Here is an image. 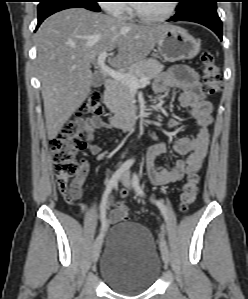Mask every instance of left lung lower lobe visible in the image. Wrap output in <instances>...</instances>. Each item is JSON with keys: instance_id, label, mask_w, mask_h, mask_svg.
Wrapping results in <instances>:
<instances>
[{"instance_id": "0a47b994", "label": "left lung lower lobe", "mask_w": 248, "mask_h": 299, "mask_svg": "<svg viewBox=\"0 0 248 299\" xmlns=\"http://www.w3.org/2000/svg\"><path fill=\"white\" fill-rule=\"evenodd\" d=\"M216 6H204L191 11L190 13L182 12L177 9L174 17L168 21H191L202 24L215 32L222 40V22L217 14Z\"/></svg>"}]
</instances>
